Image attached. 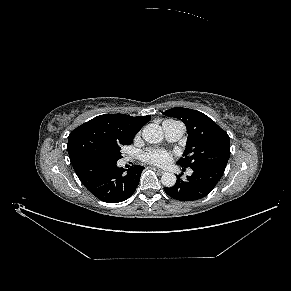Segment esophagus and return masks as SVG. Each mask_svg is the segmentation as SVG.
I'll return each mask as SVG.
<instances>
[{"mask_svg":"<svg viewBox=\"0 0 291 291\" xmlns=\"http://www.w3.org/2000/svg\"><path fill=\"white\" fill-rule=\"evenodd\" d=\"M153 170H155L158 174H163V173H165L164 170L159 169V168H153Z\"/></svg>","mask_w":291,"mask_h":291,"instance_id":"1","label":"esophagus"}]
</instances>
